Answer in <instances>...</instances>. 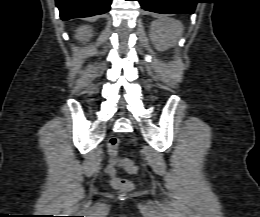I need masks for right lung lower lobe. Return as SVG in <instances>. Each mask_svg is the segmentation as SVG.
Segmentation results:
<instances>
[{
	"mask_svg": "<svg viewBox=\"0 0 260 217\" xmlns=\"http://www.w3.org/2000/svg\"><path fill=\"white\" fill-rule=\"evenodd\" d=\"M111 0H56L62 20L104 14L110 10Z\"/></svg>",
	"mask_w": 260,
	"mask_h": 217,
	"instance_id": "98d812e1",
	"label": "right lung lower lobe"
}]
</instances>
